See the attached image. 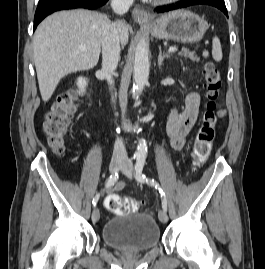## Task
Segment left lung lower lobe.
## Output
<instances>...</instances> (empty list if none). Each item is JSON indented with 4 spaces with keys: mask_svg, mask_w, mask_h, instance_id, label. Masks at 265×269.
<instances>
[{
    "mask_svg": "<svg viewBox=\"0 0 265 269\" xmlns=\"http://www.w3.org/2000/svg\"><path fill=\"white\" fill-rule=\"evenodd\" d=\"M198 4H205V5L214 6L218 9H220L226 16H228L224 0H186V1L182 2L181 4L174 6V7L165 8V9H158L157 12L162 13V12H167L170 10L185 8L188 6L198 5Z\"/></svg>",
    "mask_w": 265,
    "mask_h": 269,
    "instance_id": "1",
    "label": "left lung lower lobe"
}]
</instances>
